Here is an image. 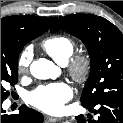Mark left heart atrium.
I'll use <instances>...</instances> for the list:
<instances>
[{"label":"left heart atrium","instance_id":"obj_1","mask_svg":"<svg viewBox=\"0 0 123 123\" xmlns=\"http://www.w3.org/2000/svg\"><path fill=\"white\" fill-rule=\"evenodd\" d=\"M73 92L64 82L41 85L28 95V103L48 113L59 112Z\"/></svg>","mask_w":123,"mask_h":123}]
</instances>
